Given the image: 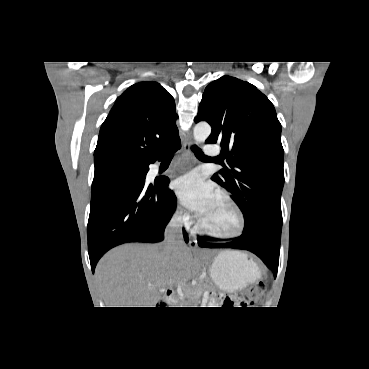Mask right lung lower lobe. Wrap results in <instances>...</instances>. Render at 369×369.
Segmentation results:
<instances>
[{"label": "right lung lower lobe", "mask_w": 369, "mask_h": 369, "mask_svg": "<svg viewBox=\"0 0 369 369\" xmlns=\"http://www.w3.org/2000/svg\"><path fill=\"white\" fill-rule=\"evenodd\" d=\"M179 148L180 142L168 152ZM156 160L139 163L92 191L87 236L93 272L104 253L117 245L163 240L165 227L176 209V196L168 189L167 177L145 184L149 164ZM183 235L188 242L185 230Z\"/></svg>", "instance_id": "98d812e1"}]
</instances>
